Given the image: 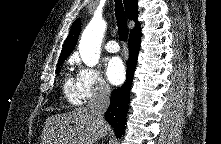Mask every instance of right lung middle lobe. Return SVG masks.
<instances>
[{
    "label": "right lung middle lobe",
    "mask_w": 221,
    "mask_h": 144,
    "mask_svg": "<svg viewBox=\"0 0 221 144\" xmlns=\"http://www.w3.org/2000/svg\"><path fill=\"white\" fill-rule=\"evenodd\" d=\"M62 63H63V62L58 63V66H57V73H59V71H60V66L62 65Z\"/></svg>",
    "instance_id": "1"
}]
</instances>
